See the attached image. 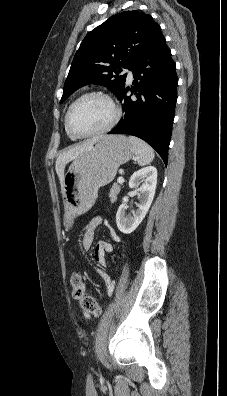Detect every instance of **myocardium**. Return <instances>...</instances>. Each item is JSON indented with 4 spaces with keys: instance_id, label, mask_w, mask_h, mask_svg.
Segmentation results:
<instances>
[{
    "instance_id": "obj_1",
    "label": "myocardium",
    "mask_w": 227,
    "mask_h": 396,
    "mask_svg": "<svg viewBox=\"0 0 227 396\" xmlns=\"http://www.w3.org/2000/svg\"><path fill=\"white\" fill-rule=\"evenodd\" d=\"M90 96H99L102 97L104 99H106L109 104L111 105L112 109H113V117L111 119V121L105 125L104 127L93 131V132H89V133H78L76 132L72 125H71V114L72 111L74 109V107L84 98L90 97ZM122 117V110L121 107L119 106V104L113 99V97L111 95H109L106 92L100 91V90H92V91H87L83 94H81L79 97H77L69 106L66 115H65V125L66 128L68 130V132L74 136L75 138H89V137H94V136H98V135H102L108 131H110L111 129H113L118 122L120 121Z\"/></svg>"
}]
</instances>
